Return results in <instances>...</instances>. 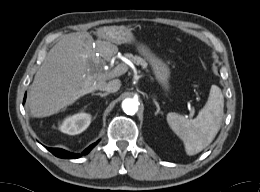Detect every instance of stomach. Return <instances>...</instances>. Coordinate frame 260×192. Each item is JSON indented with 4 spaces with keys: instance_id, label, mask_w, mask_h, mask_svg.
<instances>
[{
    "instance_id": "obj_1",
    "label": "stomach",
    "mask_w": 260,
    "mask_h": 192,
    "mask_svg": "<svg viewBox=\"0 0 260 192\" xmlns=\"http://www.w3.org/2000/svg\"><path fill=\"white\" fill-rule=\"evenodd\" d=\"M111 40L115 44H134L136 51L151 66L155 79L162 87L164 94H169L171 92V71L169 66L161 58H159L145 43L137 41L130 29L126 27H116L111 29Z\"/></svg>"
}]
</instances>
